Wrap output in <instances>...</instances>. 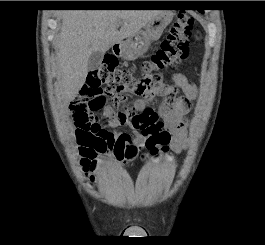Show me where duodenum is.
Masks as SVG:
<instances>
[{
    "instance_id": "obj_1",
    "label": "duodenum",
    "mask_w": 265,
    "mask_h": 245,
    "mask_svg": "<svg viewBox=\"0 0 265 245\" xmlns=\"http://www.w3.org/2000/svg\"><path fill=\"white\" fill-rule=\"evenodd\" d=\"M113 53L117 56H120L121 53H122V48L120 46V44H116L114 47H113Z\"/></svg>"
}]
</instances>
